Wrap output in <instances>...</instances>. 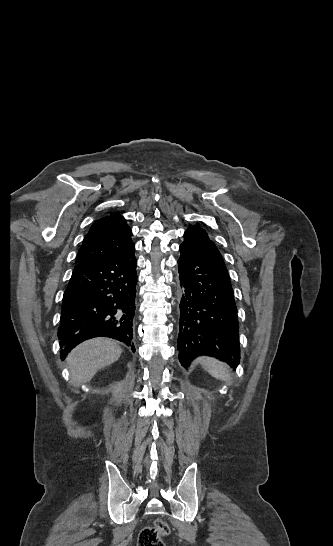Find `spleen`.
<instances>
[{
  "label": "spleen",
  "mask_w": 333,
  "mask_h": 546,
  "mask_svg": "<svg viewBox=\"0 0 333 546\" xmlns=\"http://www.w3.org/2000/svg\"><path fill=\"white\" fill-rule=\"evenodd\" d=\"M200 362L211 376L224 381L229 380L228 370L224 363L208 357L201 358Z\"/></svg>",
  "instance_id": "spleen-1"
}]
</instances>
